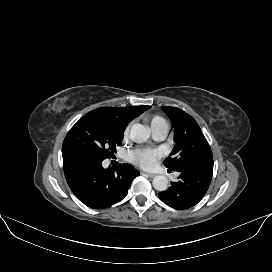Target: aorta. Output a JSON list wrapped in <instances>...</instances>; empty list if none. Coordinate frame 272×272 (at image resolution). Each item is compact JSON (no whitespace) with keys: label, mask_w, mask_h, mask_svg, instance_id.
<instances>
[{"label":"aorta","mask_w":272,"mask_h":272,"mask_svg":"<svg viewBox=\"0 0 272 272\" xmlns=\"http://www.w3.org/2000/svg\"><path fill=\"white\" fill-rule=\"evenodd\" d=\"M150 137V129L141 125L134 124L130 130V138L135 143H143ZM153 187L157 191H165L168 188V179L163 175L155 176L152 181Z\"/></svg>","instance_id":"1"}]
</instances>
